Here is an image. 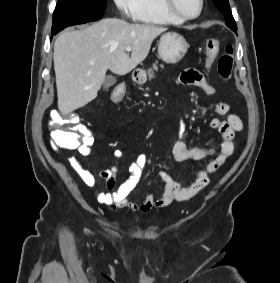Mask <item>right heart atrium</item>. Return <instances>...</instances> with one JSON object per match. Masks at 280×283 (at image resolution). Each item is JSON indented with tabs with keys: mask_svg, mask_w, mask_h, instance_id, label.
Listing matches in <instances>:
<instances>
[{
	"mask_svg": "<svg viewBox=\"0 0 280 283\" xmlns=\"http://www.w3.org/2000/svg\"><path fill=\"white\" fill-rule=\"evenodd\" d=\"M124 17H133L137 9V0H113Z\"/></svg>",
	"mask_w": 280,
	"mask_h": 283,
	"instance_id": "d8ad5b80",
	"label": "right heart atrium"
}]
</instances>
